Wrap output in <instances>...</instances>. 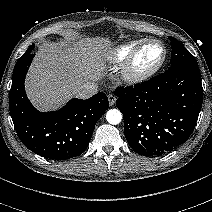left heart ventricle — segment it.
<instances>
[{"label":"left heart ventricle","mask_w":212,"mask_h":212,"mask_svg":"<svg viewBox=\"0 0 212 212\" xmlns=\"http://www.w3.org/2000/svg\"><path fill=\"white\" fill-rule=\"evenodd\" d=\"M161 55L162 49L159 45H149L139 54L136 62L137 67L139 69L148 68L154 65L160 59Z\"/></svg>","instance_id":"b2bd125f"}]
</instances>
